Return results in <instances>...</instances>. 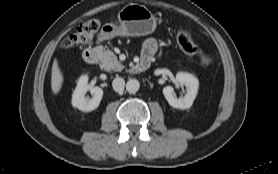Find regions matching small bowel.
Here are the masks:
<instances>
[{
	"mask_svg": "<svg viewBox=\"0 0 278 174\" xmlns=\"http://www.w3.org/2000/svg\"><path fill=\"white\" fill-rule=\"evenodd\" d=\"M159 47V41L155 38L147 39L143 44V57H152Z\"/></svg>",
	"mask_w": 278,
	"mask_h": 174,
	"instance_id": "1",
	"label": "small bowel"
}]
</instances>
